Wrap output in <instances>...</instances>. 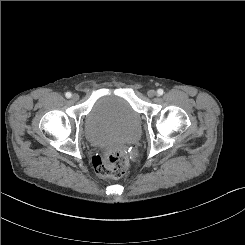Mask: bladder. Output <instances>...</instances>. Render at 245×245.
Wrapping results in <instances>:
<instances>
[{"label": "bladder", "instance_id": "1", "mask_svg": "<svg viewBox=\"0 0 245 245\" xmlns=\"http://www.w3.org/2000/svg\"><path fill=\"white\" fill-rule=\"evenodd\" d=\"M84 133L95 144L127 145L140 135L139 115L123 97L105 95L85 116Z\"/></svg>", "mask_w": 245, "mask_h": 245}]
</instances>
